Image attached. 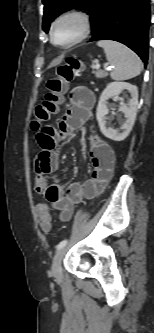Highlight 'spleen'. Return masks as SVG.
Listing matches in <instances>:
<instances>
[{
  "mask_svg": "<svg viewBox=\"0 0 154 333\" xmlns=\"http://www.w3.org/2000/svg\"><path fill=\"white\" fill-rule=\"evenodd\" d=\"M97 45L104 49L108 63L113 66L110 73L112 79L128 80L141 73V59L125 45L111 40H100Z\"/></svg>",
  "mask_w": 154,
  "mask_h": 333,
  "instance_id": "spleen-1",
  "label": "spleen"
}]
</instances>
